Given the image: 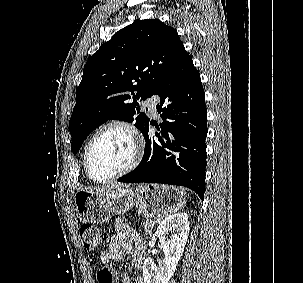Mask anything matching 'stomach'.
I'll use <instances>...</instances> for the list:
<instances>
[{"mask_svg":"<svg viewBox=\"0 0 303 283\" xmlns=\"http://www.w3.org/2000/svg\"><path fill=\"white\" fill-rule=\"evenodd\" d=\"M185 202L182 188L158 184L119 187L102 194L80 190L74 195L78 218L88 224H102L133 207L145 218H163L180 210Z\"/></svg>","mask_w":303,"mask_h":283,"instance_id":"0dacf381","label":"stomach"}]
</instances>
